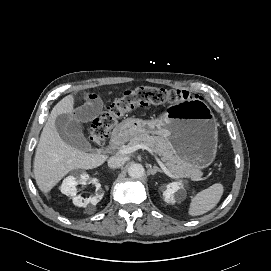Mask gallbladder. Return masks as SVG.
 <instances>
[{
  "instance_id": "1",
  "label": "gallbladder",
  "mask_w": 271,
  "mask_h": 271,
  "mask_svg": "<svg viewBox=\"0 0 271 271\" xmlns=\"http://www.w3.org/2000/svg\"><path fill=\"white\" fill-rule=\"evenodd\" d=\"M56 128L67 144L81 151H91V144L83 135V127L78 121L59 115L56 118Z\"/></svg>"
}]
</instances>
